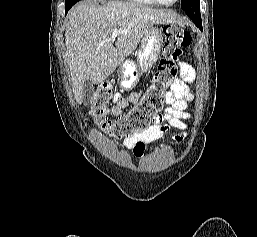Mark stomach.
<instances>
[{
  "label": "stomach",
  "instance_id": "stomach-1",
  "mask_svg": "<svg viewBox=\"0 0 257 237\" xmlns=\"http://www.w3.org/2000/svg\"><path fill=\"white\" fill-rule=\"evenodd\" d=\"M163 28L151 26L139 43L136 61L126 60L118 71V83L122 90L133 89L143 72L148 71L157 61L163 44Z\"/></svg>",
  "mask_w": 257,
  "mask_h": 237
}]
</instances>
